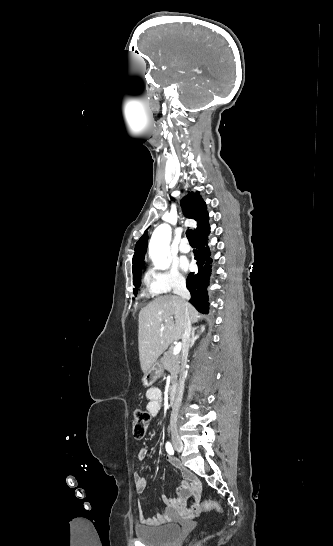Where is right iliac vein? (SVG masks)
I'll return each mask as SVG.
<instances>
[{
  "mask_svg": "<svg viewBox=\"0 0 333 546\" xmlns=\"http://www.w3.org/2000/svg\"><path fill=\"white\" fill-rule=\"evenodd\" d=\"M172 444L178 452L183 451V443L177 435H172Z\"/></svg>",
  "mask_w": 333,
  "mask_h": 546,
  "instance_id": "right-iliac-vein-1",
  "label": "right iliac vein"
}]
</instances>
